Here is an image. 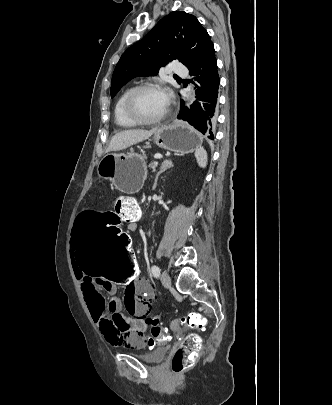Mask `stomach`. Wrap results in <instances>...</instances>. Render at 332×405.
I'll list each match as a JSON object with an SVG mask.
<instances>
[{
	"instance_id": "obj_1",
	"label": "stomach",
	"mask_w": 332,
	"mask_h": 405,
	"mask_svg": "<svg viewBox=\"0 0 332 405\" xmlns=\"http://www.w3.org/2000/svg\"><path fill=\"white\" fill-rule=\"evenodd\" d=\"M153 139L160 148L180 154L199 149L203 142L195 129L181 122L161 126ZM97 172L111 181L117 190L133 194L140 190L146 178V163L142 156L133 152L107 154L99 162Z\"/></svg>"
}]
</instances>
